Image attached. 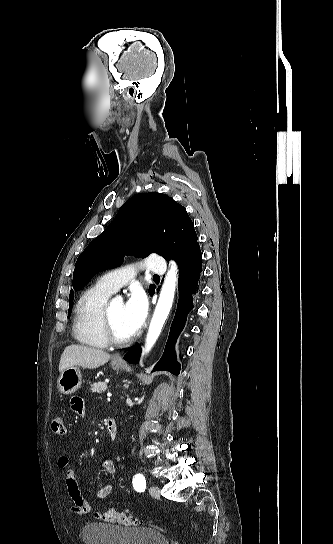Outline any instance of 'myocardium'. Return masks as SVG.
<instances>
[{
	"label": "myocardium",
	"mask_w": 333,
	"mask_h": 544,
	"mask_svg": "<svg viewBox=\"0 0 333 544\" xmlns=\"http://www.w3.org/2000/svg\"><path fill=\"white\" fill-rule=\"evenodd\" d=\"M110 304L111 303H108V302L106 303L103 309V314H102V324H103L105 337L108 340V342L111 344H115V345L128 344L131 341H133L135 336L133 334L128 337H120L119 335H117L111 321Z\"/></svg>",
	"instance_id": "obj_1"
}]
</instances>
